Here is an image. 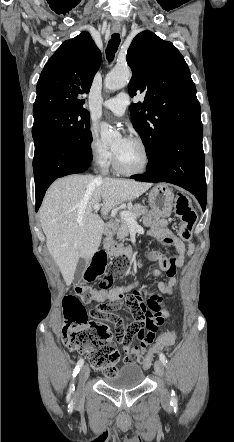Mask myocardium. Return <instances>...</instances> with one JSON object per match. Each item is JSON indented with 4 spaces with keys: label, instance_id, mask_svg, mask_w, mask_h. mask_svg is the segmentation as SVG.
<instances>
[{
    "label": "myocardium",
    "instance_id": "1",
    "mask_svg": "<svg viewBox=\"0 0 234 442\" xmlns=\"http://www.w3.org/2000/svg\"><path fill=\"white\" fill-rule=\"evenodd\" d=\"M128 140L135 142L142 149V152H143V155H144L143 164H142V166L139 169H136V170H126V169H124L120 165L116 153L113 152V166H114V169L118 173H120L122 175H125V176H136V175L143 174L144 172L147 171V169L149 167V164H150V151H149V148H148L147 144L139 137H130V138H128Z\"/></svg>",
    "mask_w": 234,
    "mask_h": 442
}]
</instances>
